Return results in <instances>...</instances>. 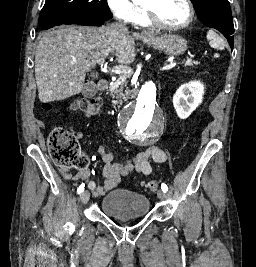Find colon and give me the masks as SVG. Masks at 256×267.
<instances>
[{
    "mask_svg": "<svg viewBox=\"0 0 256 267\" xmlns=\"http://www.w3.org/2000/svg\"><path fill=\"white\" fill-rule=\"evenodd\" d=\"M74 111L86 115L95 114L99 111L100 103L95 98H82L72 102ZM43 108L49 111L52 108L50 103H44ZM49 148L54 162L67 167H84L88 159L80 151V146L74 137L63 128H56L49 137ZM142 187L150 192L158 191L160 183L151 181L144 183Z\"/></svg>",
    "mask_w": 256,
    "mask_h": 267,
    "instance_id": "colon-1",
    "label": "colon"
}]
</instances>
